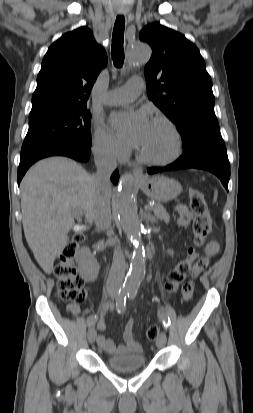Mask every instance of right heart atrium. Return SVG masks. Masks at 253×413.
Instances as JSON below:
<instances>
[{"label": "right heart atrium", "instance_id": "obj_1", "mask_svg": "<svg viewBox=\"0 0 253 413\" xmlns=\"http://www.w3.org/2000/svg\"><path fill=\"white\" fill-rule=\"evenodd\" d=\"M93 152L101 160L117 161L127 155V147L101 123L97 122L93 136Z\"/></svg>", "mask_w": 253, "mask_h": 413}]
</instances>
